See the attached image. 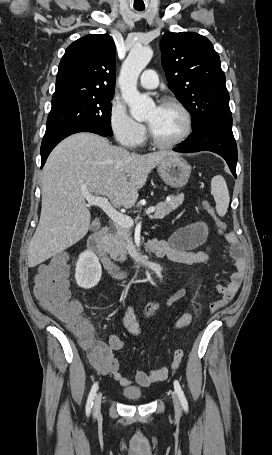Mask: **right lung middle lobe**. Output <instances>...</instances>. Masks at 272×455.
<instances>
[{
    "mask_svg": "<svg viewBox=\"0 0 272 455\" xmlns=\"http://www.w3.org/2000/svg\"><path fill=\"white\" fill-rule=\"evenodd\" d=\"M113 96L68 97L52 100L46 130L86 124L96 126L112 136L111 100Z\"/></svg>",
    "mask_w": 272,
    "mask_h": 455,
    "instance_id": "dd1d6c3e",
    "label": "right lung middle lobe"
}]
</instances>
